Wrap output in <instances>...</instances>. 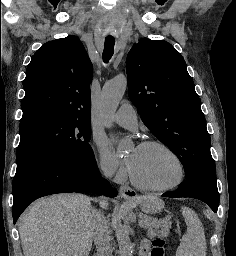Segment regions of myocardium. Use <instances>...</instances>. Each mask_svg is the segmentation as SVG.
I'll return each mask as SVG.
<instances>
[{
    "label": "myocardium",
    "instance_id": "obj_1",
    "mask_svg": "<svg viewBox=\"0 0 236 256\" xmlns=\"http://www.w3.org/2000/svg\"><path fill=\"white\" fill-rule=\"evenodd\" d=\"M138 148H142V149L160 148V149L167 151L169 154H171L174 157V159L178 163L179 168H180V173H179L178 178L174 182H172L168 185L161 186V187H150V186H146V185H143L142 183H140L136 179L134 174L131 172L130 168H128V175H129L130 183L136 189L146 192V193H154V194L163 193V192H166V191H169L171 189L178 187L184 181V178L186 175L185 164H184L182 158L180 157V155L169 145H167L163 142H160V141H145V142L140 143L138 145Z\"/></svg>",
    "mask_w": 236,
    "mask_h": 256
}]
</instances>
